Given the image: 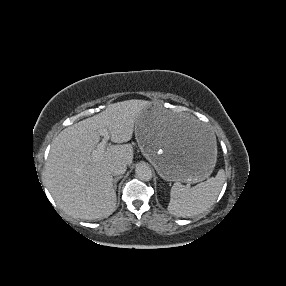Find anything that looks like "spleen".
Segmentation results:
<instances>
[{
  "instance_id": "spleen-1",
  "label": "spleen",
  "mask_w": 286,
  "mask_h": 286,
  "mask_svg": "<svg viewBox=\"0 0 286 286\" xmlns=\"http://www.w3.org/2000/svg\"><path fill=\"white\" fill-rule=\"evenodd\" d=\"M225 172L220 169L215 177L209 178L192 188L175 182L170 192L167 210L178 217H189L203 213L216 201L224 183Z\"/></svg>"
}]
</instances>
